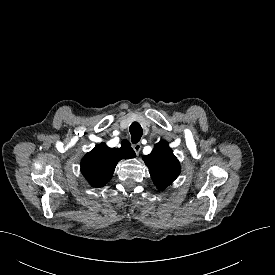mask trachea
<instances>
[{
	"instance_id": "obj_1",
	"label": "trachea",
	"mask_w": 275,
	"mask_h": 275,
	"mask_svg": "<svg viewBox=\"0 0 275 275\" xmlns=\"http://www.w3.org/2000/svg\"><path fill=\"white\" fill-rule=\"evenodd\" d=\"M130 134H131V141L133 144H136L140 141L142 137V127L139 123L134 122L130 125Z\"/></svg>"
}]
</instances>
